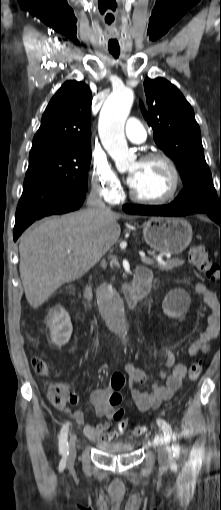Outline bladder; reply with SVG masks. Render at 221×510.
Returning a JSON list of instances; mask_svg holds the SVG:
<instances>
[{"mask_svg":"<svg viewBox=\"0 0 221 510\" xmlns=\"http://www.w3.org/2000/svg\"><path fill=\"white\" fill-rule=\"evenodd\" d=\"M97 447H98V449H100L104 452H108V453H112V454H122V453L131 452L134 449L135 445L131 442L117 441V442H112V443L99 442L97 444Z\"/></svg>","mask_w":221,"mask_h":510,"instance_id":"1","label":"bladder"}]
</instances>
